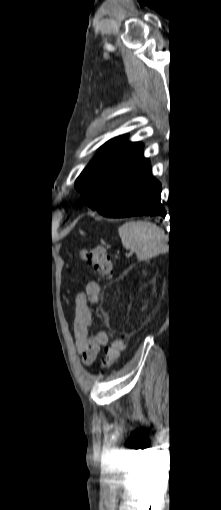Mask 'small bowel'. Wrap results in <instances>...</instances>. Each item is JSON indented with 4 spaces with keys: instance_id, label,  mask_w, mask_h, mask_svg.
Segmentation results:
<instances>
[{
    "instance_id": "small-bowel-1",
    "label": "small bowel",
    "mask_w": 221,
    "mask_h": 510,
    "mask_svg": "<svg viewBox=\"0 0 221 510\" xmlns=\"http://www.w3.org/2000/svg\"><path fill=\"white\" fill-rule=\"evenodd\" d=\"M101 293L100 285L96 281H89L85 287V292L81 293L75 303L74 310V332L78 353L87 366L91 365L100 349L106 347L109 342L108 334L105 331H99L95 335H90L92 324V313L89 302L96 303Z\"/></svg>"
}]
</instances>
